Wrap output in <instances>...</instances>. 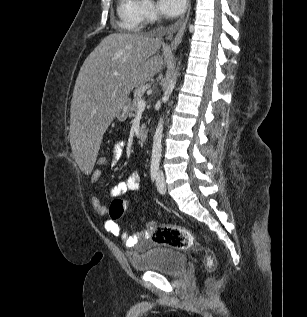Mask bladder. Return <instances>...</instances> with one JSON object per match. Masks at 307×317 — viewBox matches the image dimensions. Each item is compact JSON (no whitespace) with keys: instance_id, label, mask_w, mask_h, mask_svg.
Listing matches in <instances>:
<instances>
[{"instance_id":"obj_1","label":"bladder","mask_w":307,"mask_h":317,"mask_svg":"<svg viewBox=\"0 0 307 317\" xmlns=\"http://www.w3.org/2000/svg\"><path fill=\"white\" fill-rule=\"evenodd\" d=\"M134 271L157 272L164 275H179L186 267V256L180 251L155 247L141 256L128 255Z\"/></svg>"}]
</instances>
